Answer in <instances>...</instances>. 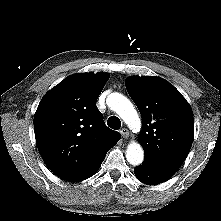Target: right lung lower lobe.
Instances as JSON below:
<instances>
[{
	"label": "right lung lower lobe",
	"instance_id": "right-lung-lower-lobe-1",
	"mask_svg": "<svg viewBox=\"0 0 221 221\" xmlns=\"http://www.w3.org/2000/svg\"><path fill=\"white\" fill-rule=\"evenodd\" d=\"M100 166H101V164L93 172H91V174L88 175L85 179H87V178L91 177L92 175H94L97 172V170L99 169Z\"/></svg>",
	"mask_w": 221,
	"mask_h": 221
}]
</instances>
